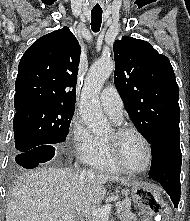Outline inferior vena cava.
I'll list each match as a JSON object with an SVG mask.
<instances>
[{"label":"inferior vena cava","mask_w":190,"mask_h":221,"mask_svg":"<svg viewBox=\"0 0 190 221\" xmlns=\"http://www.w3.org/2000/svg\"><path fill=\"white\" fill-rule=\"evenodd\" d=\"M75 168H77L79 170V167H78V165L76 163H75ZM80 173L84 175V174H86V171L85 170H81ZM89 173L91 174L92 172H89Z\"/></svg>","instance_id":"1"}]
</instances>
